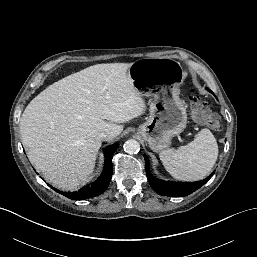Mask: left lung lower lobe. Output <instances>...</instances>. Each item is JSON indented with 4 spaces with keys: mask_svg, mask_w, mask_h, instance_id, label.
Returning <instances> with one entry per match:
<instances>
[{
    "mask_svg": "<svg viewBox=\"0 0 257 257\" xmlns=\"http://www.w3.org/2000/svg\"><path fill=\"white\" fill-rule=\"evenodd\" d=\"M144 158H145L146 174H147L148 181L152 189L156 191L158 194H161L163 196H172V197L187 196L192 192L196 191L201 186H203L206 182H208L209 179L214 174L212 173L208 178L198 182L182 183V182L162 181L153 177L149 169L150 161L146 155H144Z\"/></svg>",
    "mask_w": 257,
    "mask_h": 257,
    "instance_id": "left-lung-lower-lobe-1",
    "label": "left lung lower lobe"
}]
</instances>
